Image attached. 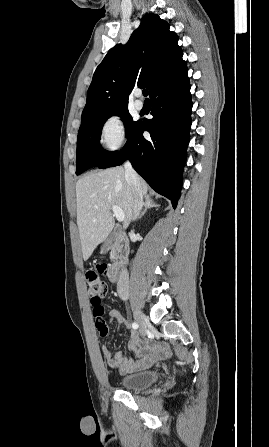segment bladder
<instances>
[{
  "mask_svg": "<svg viewBox=\"0 0 269 447\" xmlns=\"http://www.w3.org/2000/svg\"><path fill=\"white\" fill-rule=\"evenodd\" d=\"M163 379V374L155 369L127 374L120 378V387L123 391H136L143 387H151Z\"/></svg>",
  "mask_w": 269,
  "mask_h": 447,
  "instance_id": "1",
  "label": "bladder"
}]
</instances>
